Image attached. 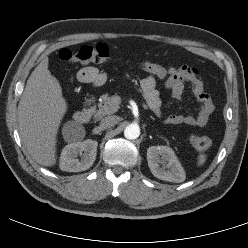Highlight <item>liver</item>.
Segmentation results:
<instances>
[{
	"instance_id": "liver-1",
	"label": "liver",
	"mask_w": 248,
	"mask_h": 248,
	"mask_svg": "<svg viewBox=\"0 0 248 248\" xmlns=\"http://www.w3.org/2000/svg\"><path fill=\"white\" fill-rule=\"evenodd\" d=\"M42 59L27 80L18 105L21 139L32 158L42 166L56 163V136L67 104L58 80Z\"/></svg>"
}]
</instances>
